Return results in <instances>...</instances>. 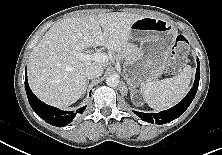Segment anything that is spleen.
Listing matches in <instances>:
<instances>
[{"label": "spleen", "mask_w": 222, "mask_h": 155, "mask_svg": "<svg viewBox=\"0 0 222 155\" xmlns=\"http://www.w3.org/2000/svg\"><path fill=\"white\" fill-rule=\"evenodd\" d=\"M191 73L188 65L174 77L142 84L141 92L145 101L151 108L159 110L176 105L188 92Z\"/></svg>", "instance_id": "3e777b00"}]
</instances>
